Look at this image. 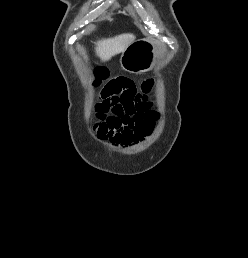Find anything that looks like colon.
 <instances>
[{
  "label": "colon",
  "instance_id": "obj_1",
  "mask_svg": "<svg viewBox=\"0 0 248 258\" xmlns=\"http://www.w3.org/2000/svg\"><path fill=\"white\" fill-rule=\"evenodd\" d=\"M101 124H107L108 128H116L122 124L124 115L120 116L109 99L103 100L97 106Z\"/></svg>",
  "mask_w": 248,
  "mask_h": 258
}]
</instances>
